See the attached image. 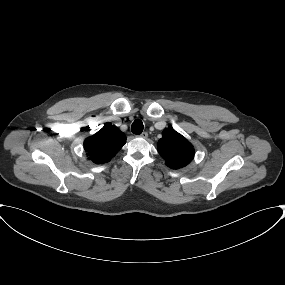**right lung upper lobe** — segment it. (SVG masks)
<instances>
[{
    "mask_svg": "<svg viewBox=\"0 0 285 285\" xmlns=\"http://www.w3.org/2000/svg\"><path fill=\"white\" fill-rule=\"evenodd\" d=\"M126 143V136L116 126L106 123L84 141V149L96 164L107 163Z\"/></svg>",
    "mask_w": 285,
    "mask_h": 285,
    "instance_id": "1",
    "label": "right lung upper lobe"
}]
</instances>
